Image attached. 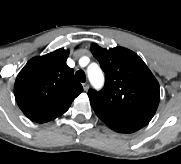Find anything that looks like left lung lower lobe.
Masks as SVG:
<instances>
[{
	"mask_svg": "<svg viewBox=\"0 0 181 164\" xmlns=\"http://www.w3.org/2000/svg\"><path fill=\"white\" fill-rule=\"evenodd\" d=\"M97 116L107 125L109 126L111 129H113L116 132H120V133H132L135 132L137 130H139L141 127L126 122V121H122L119 119H116L114 117H110L108 115L105 114H97Z\"/></svg>",
	"mask_w": 181,
	"mask_h": 164,
	"instance_id": "obj_1",
	"label": "left lung lower lobe"
}]
</instances>
